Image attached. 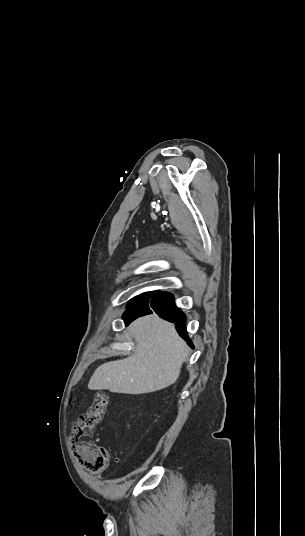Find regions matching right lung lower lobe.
Segmentation results:
<instances>
[{"instance_id":"98d812e1","label":"right lung lower lobe","mask_w":305,"mask_h":536,"mask_svg":"<svg viewBox=\"0 0 305 536\" xmlns=\"http://www.w3.org/2000/svg\"><path fill=\"white\" fill-rule=\"evenodd\" d=\"M153 311L164 319L174 322L180 336L193 348V344L188 339L186 333L185 314L175 306L173 296L170 293L160 291L150 292L128 307L123 314V319L126 325H128L136 318L151 314Z\"/></svg>"}]
</instances>
